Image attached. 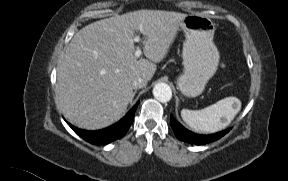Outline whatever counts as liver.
Segmentation results:
<instances>
[{
	"label": "liver",
	"instance_id": "liver-1",
	"mask_svg": "<svg viewBox=\"0 0 288 181\" xmlns=\"http://www.w3.org/2000/svg\"><path fill=\"white\" fill-rule=\"evenodd\" d=\"M185 14L138 10L93 22L69 43L57 69L56 93L62 113L87 130L105 128L125 113L132 101L133 80L150 81L173 43ZM144 35L137 60L135 32Z\"/></svg>",
	"mask_w": 288,
	"mask_h": 181
}]
</instances>
